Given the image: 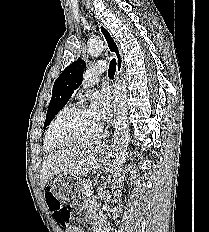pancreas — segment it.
<instances>
[{"label": "pancreas", "instance_id": "pancreas-1", "mask_svg": "<svg viewBox=\"0 0 209 232\" xmlns=\"http://www.w3.org/2000/svg\"><path fill=\"white\" fill-rule=\"evenodd\" d=\"M92 182L89 179H86L84 181H82V185H81V192L83 195H85V193L90 190Z\"/></svg>", "mask_w": 209, "mask_h": 232}]
</instances>
